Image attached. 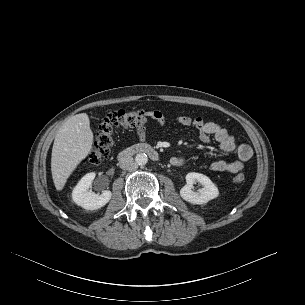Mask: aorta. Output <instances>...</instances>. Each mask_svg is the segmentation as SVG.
I'll return each instance as SVG.
<instances>
[{
	"label": "aorta",
	"mask_w": 305,
	"mask_h": 305,
	"mask_svg": "<svg viewBox=\"0 0 305 305\" xmlns=\"http://www.w3.org/2000/svg\"><path fill=\"white\" fill-rule=\"evenodd\" d=\"M135 162L140 166L145 165L148 162V157L145 153H138L135 156Z\"/></svg>",
	"instance_id": "obj_1"
}]
</instances>
